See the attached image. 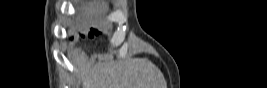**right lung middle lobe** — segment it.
Segmentation results:
<instances>
[{"mask_svg": "<svg viewBox=\"0 0 267 88\" xmlns=\"http://www.w3.org/2000/svg\"><path fill=\"white\" fill-rule=\"evenodd\" d=\"M99 34H100V32L97 31L96 29H91V33H89V37L92 38L93 35H99Z\"/></svg>", "mask_w": 267, "mask_h": 88, "instance_id": "1", "label": "right lung middle lobe"}]
</instances>
